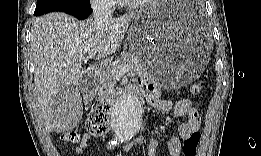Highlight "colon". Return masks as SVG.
I'll return each mask as SVG.
<instances>
[{"instance_id": "colon-1", "label": "colon", "mask_w": 261, "mask_h": 156, "mask_svg": "<svg viewBox=\"0 0 261 156\" xmlns=\"http://www.w3.org/2000/svg\"><path fill=\"white\" fill-rule=\"evenodd\" d=\"M202 82H195L190 87V93L198 96L202 92ZM86 127L88 132L93 136H102L109 129V107L99 105L95 107L89 114ZM79 133L75 130L63 131L60 134V140L67 143H77L79 141ZM201 135L199 132L193 133L183 144V156H196Z\"/></svg>"}]
</instances>
